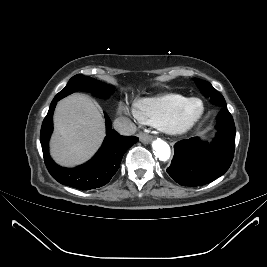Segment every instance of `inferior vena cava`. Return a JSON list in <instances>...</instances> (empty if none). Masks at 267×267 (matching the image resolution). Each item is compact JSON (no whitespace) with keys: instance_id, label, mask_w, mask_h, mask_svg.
<instances>
[{"instance_id":"602c4592","label":"inferior vena cava","mask_w":267,"mask_h":267,"mask_svg":"<svg viewBox=\"0 0 267 267\" xmlns=\"http://www.w3.org/2000/svg\"><path fill=\"white\" fill-rule=\"evenodd\" d=\"M114 129L121 135L130 136L136 132L135 124L126 117H118L113 123Z\"/></svg>"}]
</instances>
